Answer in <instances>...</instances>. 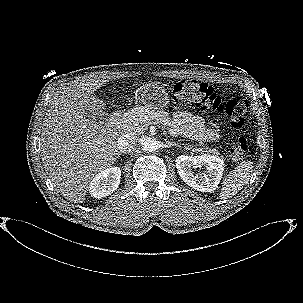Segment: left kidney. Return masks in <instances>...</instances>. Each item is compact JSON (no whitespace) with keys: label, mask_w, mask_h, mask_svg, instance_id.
I'll use <instances>...</instances> for the list:
<instances>
[{"label":"left kidney","mask_w":303,"mask_h":303,"mask_svg":"<svg viewBox=\"0 0 303 303\" xmlns=\"http://www.w3.org/2000/svg\"><path fill=\"white\" fill-rule=\"evenodd\" d=\"M176 168L182 180L195 190L212 192L218 187L224 170V161L213 155L187 156L176 159ZM206 168V173L198 175L192 168Z\"/></svg>","instance_id":"obj_1"}]
</instances>
